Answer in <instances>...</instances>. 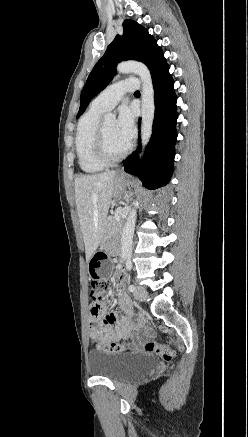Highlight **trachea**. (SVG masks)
<instances>
[{
  "instance_id": "1",
  "label": "trachea",
  "mask_w": 248,
  "mask_h": 437,
  "mask_svg": "<svg viewBox=\"0 0 248 437\" xmlns=\"http://www.w3.org/2000/svg\"><path fill=\"white\" fill-rule=\"evenodd\" d=\"M135 94H140V92H139V91H136Z\"/></svg>"
}]
</instances>
